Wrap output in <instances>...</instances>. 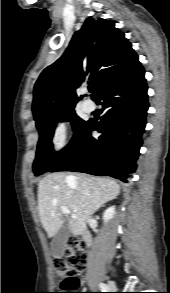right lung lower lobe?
<instances>
[{
	"label": "right lung lower lobe",
	"instance_id": "obj_1",
	"mask_svg": "<svg viewBox=\"0 0 170 293\" xmlns=\"http://www.w3.org/2000/svg\"><path fill=\"white\" fill-rule=\"evenodd\" d=\"M144 73L141 66L102 89L95 99L103 106L101 120L84 124L50 172L69 170L129 182L137 167L149 107ZM93 130L101 135L93 138Z\"/></svg>",
	"mask_w": 170,
	"mask_h": 293
}]
</instances>
